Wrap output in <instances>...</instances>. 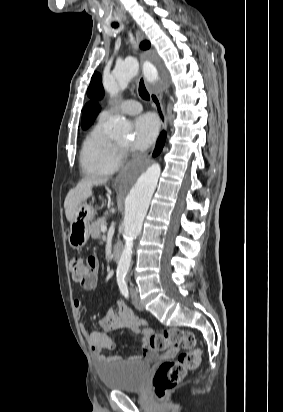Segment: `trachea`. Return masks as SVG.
Segmentation results:
<instances>
[{"instance_id": "trachea-1", "label": "trachea", "mask_w": 283, "mask_h": 412, "mask_svg": "<svg viewBox=\"0 0 283 412\" xmlns=\"http://www.w3.org/2000/svg\"><path fill=\"white\" fill-rule=\"evenodd\" d=\"M117 26H118L117 24H113V27H117ZM139 95L141 96V98H143L145 100L150 99V95H149L148 91L146 90L143 79H141L140 82H139Z\"/></svg>"}]
</instances>
